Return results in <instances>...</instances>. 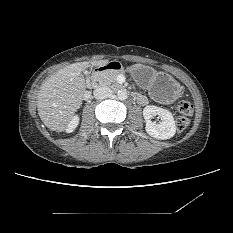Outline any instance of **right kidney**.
<instances>
[{
  "label": "right kidney",
  "instance_id": "right-kidney-1",
  "mask_svg": "<svg viewBox=\"0 0 233 233\" xmlns=\"http://www.w3.org/2000/svg\"><path fill=\"white\" fill-rule=\"evenodd\" d=\"M78 123H79L78 116H74L66 128V132L68 133L73 132L75 128L77 127Z\"/></svg>",
  "mask_w": 233,
  "mask_h": 233
}]
</instances>
